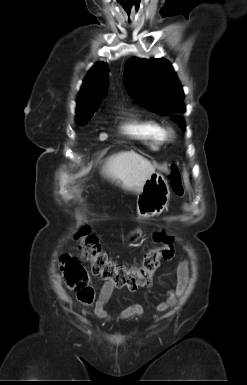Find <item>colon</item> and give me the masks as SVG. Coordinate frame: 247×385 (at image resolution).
I'll use <instances>...</instances> for the list:
<instances>
[{"instance_id":"1","label":"colon","mask_w":247,"mask_h":385,"mask_svg":"<svg viewBox=\"0 0 247 385\" xmlns=\"http://www.w3.org/2000/svg\"><path fill=\"white\" fill-rule=\"evenodd\" d=\"M169 180L173 193L183 195V180L177 167L171 168ZM77 240L82 251V259L90 263L95 276L112 283L115 287H126L132 291L149 287L160 263L174 257L173 238L165 233H158L155 236L159 245L149 250L143 256L141 264L137 266H127L109 258L97 238L87 230L81 231L77 235ZM61 271L66 286L76 294L78 301L87 306L92 305L95 291L81 262L65 253L61 256Z\"/></svg>"}]
</instances>
